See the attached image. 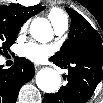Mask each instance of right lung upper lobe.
I'll return each instance as SVG.
<instances>
[{
    "label": "right lung upper lobe",
    "instance_id": "right-lung-upper-lobe-1",
    "mask_svg": "<svg viewBox=\"0 0 103 103\" xmlns=\"http://www.w3.org/2000/svg\"><path fill=\"white\" fill-rule=\"evenodd\" d=\"M44 9V6L38 5H2L0 6V20L21 28L23 23H25L30 17L38 14Z\"/></svg>",
    "mask_w": 103,
    "mask_h": 103
}]
</instances>
